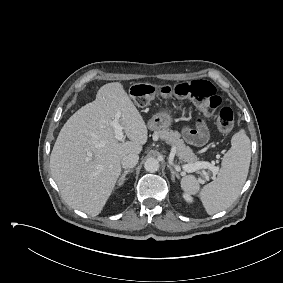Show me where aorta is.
<instances>
[{
	"label": "aorta",
	"mask_w": 283,
	"mask_h": 283,
	"mask_svg": "<svg viewBox=\"0 0 283 283\" xmlns=\"http://www.w3.org/2000/svg\"><path fill=\"white\" fill-rule=\"evenodd\" d=\"M144 168L150 173H154L159 169V162L155 158H148L144 163Z\"/></svg>",
	"instance_id": "aorta-1"
}]
</instances>
